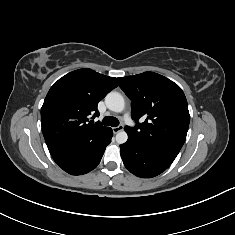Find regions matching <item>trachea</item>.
Returning a JSON list of instances; mask_svg holds the SVG:
<instances>
[{
    "label": "trachea",
    "mask_w": 235,
    "mask_h": 235,
    "mask_svg": "<svg viewBox=\"0 0 235 235\" xmlns=\"http://www.w3.org/2000/svg\"><path fill=\"white\" fill-rule=\"evenodd\" d=\"M102 124L106 126L117 127L119 125V121L115 117L106 116L103 118Z\"/></svg>",
    "instance_id": "3493384b"
}]
</instances>
